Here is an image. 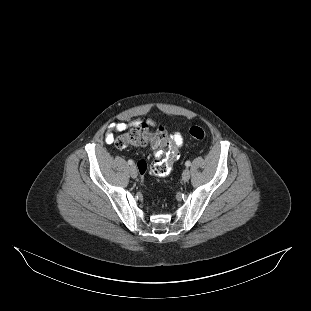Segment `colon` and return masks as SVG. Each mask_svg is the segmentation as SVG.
Segmentation results:
<instances>
[{
  "label": "colon",
  "instance_id": "obj_1",
  "mask_svg": "<svg viewBox=\"0 0 311 311\" xmlns=\"http://www.w3.org/2000/svg\"><path fill=\"white\" fill-rule=\"evenodd\" d=\"M192 138L201 141L205 138V131L199 126H192L189 130ZM172 137L167 131L159 126L151 129L145 123L132 126L127 132L117 137L115 144L120 149L132 146H151L158 153L154 161L152 171L160 177L167 176L171 171L170 159L177 155L173 148ZM139 175L142 178L147 172V162L140 160L137 163Z\"/></svg>",
  "mask_w": 311,
  "mask_h": 311
}]
</instances>
